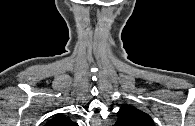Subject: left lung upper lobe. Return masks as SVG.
<instances>
[{
	"instance_id": "left-lung-upper-lobe-1",
	"label": "left lung upper lobe",
	"mask_w": 195,
	"mask_h": 126,
	"mask_svg": "<svg viewBox=\"0 0 195 126\" xmlns=\"http://www.w3.org/2000/svg\"><path fill=\"white\" fill-rule=\"evenodd\" d=\"M116 126H154L151 117L142 110L123 104L117 113Z\"/></svg>"
}]
</instances>
